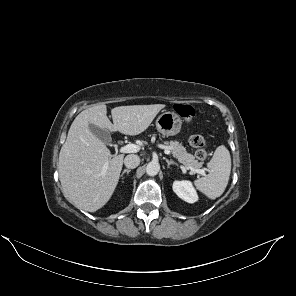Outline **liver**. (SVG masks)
I'll return each instance as SVG.
<instances>
[{
    "instance_id": "6515ba94",
    "label": "liver",
    "mask_w": 296,
    "mask_h": 296,
    "mask_svg": "<svg viewBox=\"0 0 296 296\" xmlns=\"http://www.w3.org/2000/svg\"><path fill=\"white\" fill-rule=\"evenodd\" d=\"M164 107V104L115 107L111 110L113 124L104 104L82 111L71 124L59 154V179L65 198L77 208L95 212L108 202L118 184L124 156L112 158L105 143L91 132L90 124L111 132L138 135Z\"/></svg>"
}]
</instances>
